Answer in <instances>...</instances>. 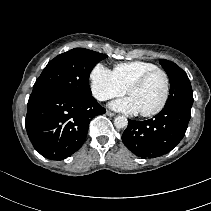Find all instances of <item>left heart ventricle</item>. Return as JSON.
<instances>
[{
  "label": "left heart ventricle",
  "instance_id": "left-heart-ventricle-1",
  "mask_svg": "<svg viewBox=\"0 0 211 211\" xmlns=\"http://www.w3.org/2000/svg\"><path fill=\"white\" fill-rule=\"evenodd\" d=\"M164 93L165 78L162 74H155L144 85L134 89L129 96L135 101L139 112H148L161 103Z\"/></svg>",
  "mask_w": 211,
  "mask_h": 211
}]
</instances>
